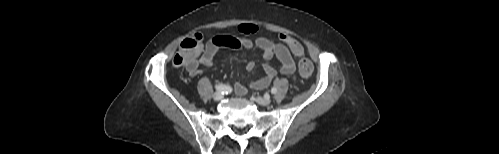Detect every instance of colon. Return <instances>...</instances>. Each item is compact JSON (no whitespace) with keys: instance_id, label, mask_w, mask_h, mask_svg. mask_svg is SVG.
I'll list each match as a JSON object with an SVG mask.
<instances>
[{"instance_id":"1","label":"colon","mask_w":499,"mask_h":154,"mask_svg":"<svg viewBox=\"0 0 499 154\" xmlns=\"http://www.w3.org/2000/svg\"><path fill=\"white\" fill-rule=\"evenodd\" d=\"M279 39L284 42L291 52L299 58L298 68L302 77L308 78L313 73L311 61L304 55L303 46L296 39L288 35H280ZM203 51V38L195 33L186 37L180 44V48L173 58L176 66L198 62Z\"/></svg>"}]
</instances>
